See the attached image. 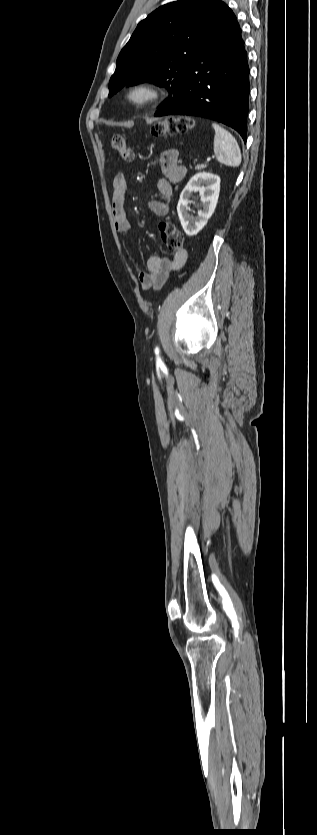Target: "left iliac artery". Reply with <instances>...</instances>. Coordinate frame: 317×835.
Returning <instances> with one entry per match:
<instances>
[{
  "mask_svg": "<svg viewBox=\"0 0 317 835\" xmlns=\"http://www.w3.org/2000/svg\"><path fill=\"white\" fill-rule=\"evenodd\" d=\"M155 353H156V355H157V359H158V360H160V357H159V349H158V348H156V349H155Z\"/></svg>",
  "mask_w": 317,
  "mask_h": 835,
  "instance_id": "left-iliac-artery-1",
  "label": "left iliac artery"
}]
</instances>
